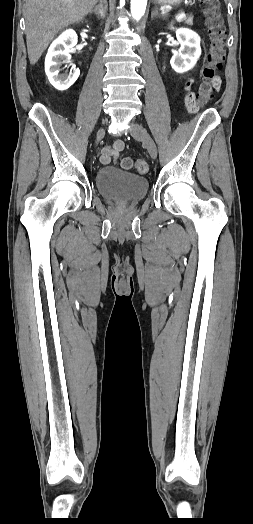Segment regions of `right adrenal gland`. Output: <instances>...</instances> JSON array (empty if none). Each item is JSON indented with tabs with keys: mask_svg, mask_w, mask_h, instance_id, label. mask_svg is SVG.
<instances>
[{
	"mask_svg": "<svg viewBox=\"0 0 253 524\" xmlns=\"http://www.w3.org/2000/svg\"><path fill=\"white\" fill-rule=\"evenodd\" d=\"M90 13H95L99 18L104 19L107 13V4L100 3L99 5L95 6V8L90 11Z\"/></svg>",
	"mask_w": 253,
	"mask_h": 524,
	"instance_id": "2a0ac1e0",
	"label": "right adrenal gland"
}]
</instances>
